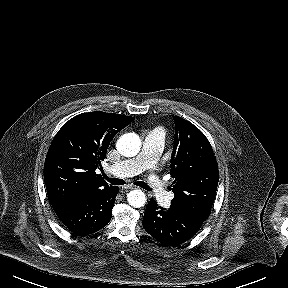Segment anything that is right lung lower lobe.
Segmentation results:
<instances>
[{
    "instance_id": "98d812e1",
    "label": "right lung lower lobe",
    "mask_w": 288,
    "mask_h": 288,
    "mask_svg": "<svg viewBox=\"0 0 288 288\" xmlns=\"http://www.w3.org/2000/svg\"><path fill=\"white\" fill-rule=\"evenodd\" d=\"M118 191V187L109 186L52 207L71 232L86 236L99 231L109 223Z\"/></svg>"
}]
</instances>
